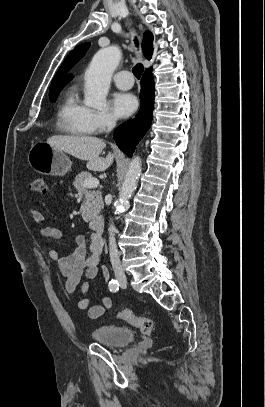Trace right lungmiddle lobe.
Masks as SVG:
<instances>
[{
  "label": "right lung middle lobe",
  "instance_id": "dd1d6c3e",
  "mask_svg": "<svg viewBox=\"0 0 265 407\" xmlns=\"http://www.w3.org/2000/svg\"><path fill=\"white\" fill-rule=\"evenodd\" d=\"M66 85L65 84H58V85H52L50 86L49 90V98L51 101H55L58 93L61 91V89Z\"/></svg>",
  "mask_w": 265,
  "mask_h": 407
}]
</instances>
